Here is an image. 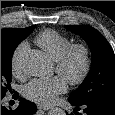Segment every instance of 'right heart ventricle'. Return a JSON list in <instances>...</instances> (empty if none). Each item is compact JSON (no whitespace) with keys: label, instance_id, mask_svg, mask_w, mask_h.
Here are the masks:
<instances>
[{"label":"right heart ventricle","instance_id":"1","mask_svg":"<svg viewBox=\"0 0 115 115\" xmlns=\"http://www.w3.org/2000/svg\"><path fill=\"white\" fill-rule=\"evenodd\" d=\"M36 44L41 47L54 61H57L71 41L65 35L53 29L42 31L35 38Z\"/></svg>","mask_w":115,"mask_h":115}]
</instances>
